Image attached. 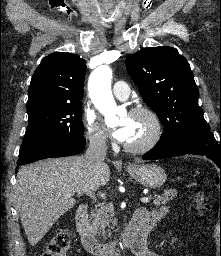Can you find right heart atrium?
Returning a JSON list of instances; mask_svg holds the SVG:
<instances>
[{
	"mask_svg": "<svg viewBox=\"0 0 221 256\" xmlns=\"http://www.w3.org/2000/svg\"><path fill=\"white\" fill-rule=\"evenodd\" d=\"M84 124L90 143L96 147L105 146L107 142L105 131L98 123L96 115L92 110L85 111Z\"/></svg>",
	"mask_w": 221,
	"mask_h": 256,
	"instance_id": "obj_1",
	"label": "right heart atrium"
}]
</instances>
